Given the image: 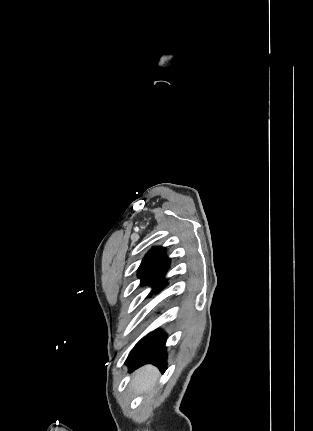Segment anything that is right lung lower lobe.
<instances>
[{
	"instance_id": "right-lung-lower-lobe-1",
	"label": "right lung lower lobe",
	"mask_w": 313,
	"mask_h": 431,
	"mask_svg": "<svg viewBox=\"0 0 313 431\" xmlns=\"http://www.w3.org/2000/svg\"><path fill=\"white\" fill-rule=\"evenodd\" d=\"M161 287L159 290H161ZM158 290V291H159ZM166 336L157 329L141 339L130 352L127 359L129 370L139 368L145 364H153L162 372L166 370Z\"/></svg>"
}]
</instances>
